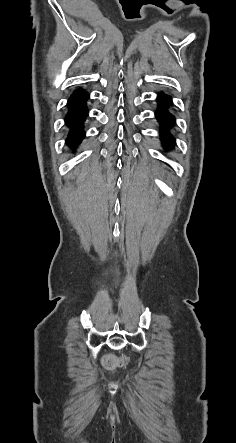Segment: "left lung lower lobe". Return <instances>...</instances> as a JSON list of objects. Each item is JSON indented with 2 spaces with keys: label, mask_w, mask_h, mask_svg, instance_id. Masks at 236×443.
<instances>
[{
  "label": "left lung lower lobe",
  "mask_w": 236,
  "mask_h": 443,
  "mask_svg": "<svg viewBox=\"0 0 236 443\" xmlns=\"http://www.w3.org/2000/svg\"><path fill=\"white\" fill-rule=\"evenodd\" d=\"M157 101L159 106L161 107V110H158L156 112V117L163 127V129L161 130V141L166 148H170L174 145V138L165 129L172 127L175 123L174 116L166 110V108L172 104V101L170 97L166 96L163 93H160Z\"/></svg>",
  "instance_id": "0a47b994"
}]
</instances>
